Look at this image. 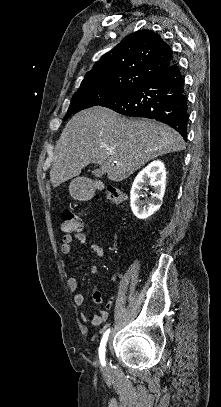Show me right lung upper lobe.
<instances>
[{"instance_id":"obj_1","label":"right lung upper lobe","mask_w":221,"mask_h":407,"mask_svg":"<svg viewBox=\"0 0 221 407\" xmlns=\"http://www.w3.org/2000/svg\"><path fill=\"white\" fill-rule=\"evenodd\" d=\"M160 35L139 30L126 36L86 73L78 90L92 86H136L173 62Z\"/></svg>"}]
</instances>
